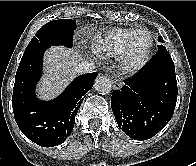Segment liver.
Masks as SVG:
<instances>
[{"instance_id":"obj_1","label":"liver","mask_w":196,"mask_h":166,"mask_svg":"<svg viewBox=\"0 0 196 166\" xmlns=\"http://www.w3.org/2000/svg\"><path fill=\"white\" fill-rule=\"evenodd\" d=\"M82 57L74 50L64 47H51L44 56L45 74L37 88L41 99H51L59 94L75 75V68Z\"/></svg>"}]
</instances>
